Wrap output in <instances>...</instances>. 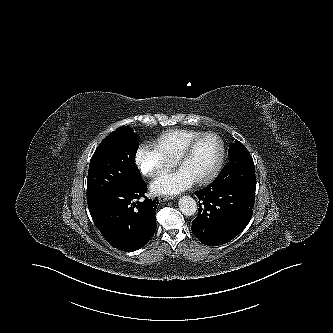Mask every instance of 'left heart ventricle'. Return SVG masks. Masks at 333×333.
Masks as SVG:
<instances>
[{
  "label": "left heart ventricle",
  "instance_id": "b2bd125f",
  "mask_svg": "<svg viewBox=\"0 0 333 333\" xmlns=\"http://www.w3.org/2000/svg\"><path fill=\"white\" fill-rule=\"evenodd\" d=\"M220 154V145L216 138H203L195 147L192 154L180 165L192 180L205 178L214 168Z\"/></svg>",
  "mask_w": 333,
  "mask_h": 333
}]
</instances>
